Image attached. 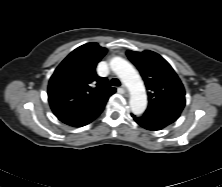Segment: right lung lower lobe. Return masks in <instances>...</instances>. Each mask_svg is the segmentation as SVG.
<instances>
[{
	"instance_id": "obj_1",
	"label": "right lung lower lobe",
	"mask_w": 222,
	"mask_h": 187,
	"mask_svg": "<svg viewBox=\"0 0 222 187\" xmlns=\"http://www.w3.org/2000/svg\"><path fill=\"white\" fill-rule=\"evenodd\" d=\"M101 112L102 111H99V112H95V113L84 115V116L58 117V119L67 125H70L73 127H82L92 122L95 118H97L100 115Z\"/></svg>"
}]
</instances>
